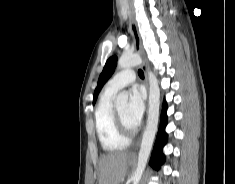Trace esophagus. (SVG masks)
<instances>
[{"label": "esophagus", "mask_w": 235, "mask_h": 184, "mask_svg": "<svg viewBox=\"0 0 235 184\" xmlns=\"http://www.w3.org/2000/svg\"><path fill=\"white\" fill-rule=\"evenodd\" d=\"M128 17H129V28H130L131 35L133 37L135 52H137L143 59L142 69H143L144 74H145V83H146V88H147V91H148L149 90L148 75H147L146 63H145L143 53H142L141 37H140L139 30H138V27H137V23H136V20H135L134 12L132 10L128 11ZM138 145H139V142L137 143L136 148L132 152L131 156H136Z\"/></svg>", "instance_id": "1"}]
</instances>
